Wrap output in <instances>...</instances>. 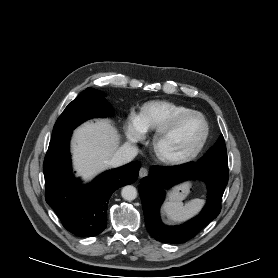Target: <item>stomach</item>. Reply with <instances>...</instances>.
<instances>
[{
	"mask_svg": "<svg viewBox=\"0 0 278 278\" xmlns=\"http://www.w3.org/2000/svg\"><path fill=\"white\" fill-rule=\"evenodd\" d=\"M189 189H190L189 184H184L182 186H179L170 193L169 199L174 202H180L187 196V194L189 193Z\"/></svg>",
	"mask_w": 278,
	"mask_h": 278,
	"instance_id": "0dacf381",
	"label": "stomach"
}]
</instances>
